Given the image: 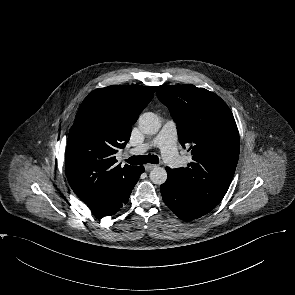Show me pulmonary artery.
Returning <instances> with one entry per match:
<instances>
[{"mask_svg": "<svg viewBox=\"0 0 295 295\" xmlns=\"http://www.w3.org/2000/svg\"><path fill=\"white\" fill-rule=\"evenodd\" d=\"M151 147L159 148L164 160L171 167L181 165L182 161L177 152V127L173 121H167L152 142L135 147L132 153L142 154Z\"/></svg>", "mask_w": 295, "mask_h": 295, "instance_id": "obj_1", "label": "pulmonary artery"}]
</instances>
